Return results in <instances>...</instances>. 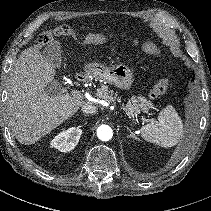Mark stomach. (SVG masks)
<instances>
[{
    "label": "stomach",
    "instance_id": "stomach-1",
    "mask_svg": "<svg viewBox=\"0 0 211 211\" xmlns=\"http://www.w3.org/2000/svg\"><path fill=\"white\" fill-rule=\"evenodd\" d=\"M87 70L95 78L105 80L120 89H129L133 83V74L124 64L106 67L101 63H89Z\"/></svg>",
    "mask_w": 211,
    "mask_h": 211
}]
</instances>
